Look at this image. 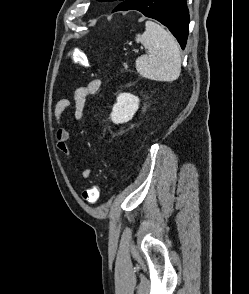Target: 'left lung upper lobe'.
Listing matches in <instances>:
<instances>
[{"label":"left lung upper lobe","instance_id":"left-lung-upper-lobe-1","mask_svg":"<svg viewBox=\"0 0 249 294\" xmlns=\"http://www.w3.org/2000/svg\"><path fill=\"white\" fill-rule=\"evenodd\" d=\"M107 1H115V0H107ZM120 1H123V0H120Z\"/></svg>","mask_w":249,"mask_h":294}]
</instances>
